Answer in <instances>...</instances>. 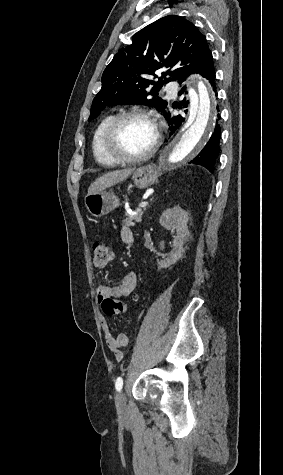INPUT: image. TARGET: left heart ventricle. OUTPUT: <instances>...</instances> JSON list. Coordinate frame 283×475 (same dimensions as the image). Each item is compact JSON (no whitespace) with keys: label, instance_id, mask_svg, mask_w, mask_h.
I'll return each instance as SVG.
<instances>
[{"label":"left heart ventricle","instance_id":"left-heart-ventricle-1","mask_svg":"<svg viewBox=\"0 0 283 475\" xmlns=\"http://www.w3.org/2000/svg\"><path fill=\"white\" fill-rule=\"evenodd\" d=\"M156 134L157 129L152 120L143 117L129 118L118 127L108 154L128 158L141 156L152 147Z\"/></svg>","mask_w":283,"mask_h":475}]
</instances>
